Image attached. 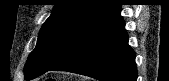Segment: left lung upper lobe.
I'll return each mask as SVG.
<instances>
[{"label": "left lung upper lobe", "mask_w": 169, "mask_h": 81, "mask_svg": "<svg viewBox=\"0 0 169 81\" xmlns=\"http://www.w3.org/2000/svg\"><path fill=\"white\" fill-rule=\"evenodd\" d=\"M116 0H59L43 24L35 49L24 66L25 79L47 72L76 36L107 12Z\"/></svg>", "instance_id": "obj_1"}]
</instances>
